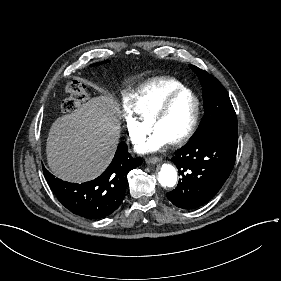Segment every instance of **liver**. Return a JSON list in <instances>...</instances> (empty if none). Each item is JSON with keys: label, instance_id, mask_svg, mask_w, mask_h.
<instances>
[{"label": "liver", "instance_id": "liver-1", "mask_svg": "<svg viewBox=\"0 0 281 281\" xmlns=\"http://www.w3.org/2000/svg\"><path fill=\"white\" fill-rule=\"evenodd\" d=\"M119 108L107 97H95L52 124L46 145L48 164L64 180L84 182L111 163L120 138Z\"/></svg>", "mask_w": 281, "mask_h": 281}]
</instances>
